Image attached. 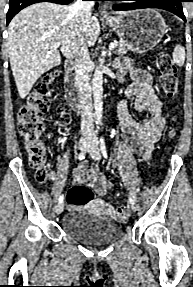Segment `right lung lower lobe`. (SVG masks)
<instances>
[{"label": "right lung lower lobe", "mask_w": 193, "mask_h": 287, "mask_svg": "<svg viewBox=\"0 0 193 287\" xmlns=\"http://www.w3.org/2000/svg\"><path fill=\"white\" fill-rule=\"evenodd\" d=\"M73 0H10L9 2V10L7 13V25L11 21V19L23 8L38 2H52L57 4L67 5L71 3ZM98 1V0H94ZM97 7V4H96Z\"/></svg>", "instance_id": "right-lung-lower-lobe-1"}]
</instances>
